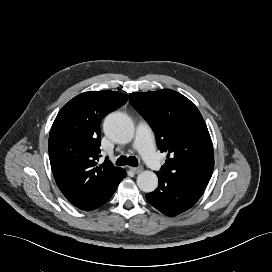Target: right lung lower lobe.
I'll list each match as a JSON object with an SVG mask.
<instances>
[{"label":"right lung lower lobe","instance_id":"1","mask_svg":"<svg viewBox=\"0 0 272 272\" xmlns=\"http://www.w3.org/2000/svg\"><path fill=\"white\" fill-rule=\"evenodd\" d=\"M126 172L125 170H123L122 175L120 176V178L117 180V182L111 187L109 188L97 201H95L93 204L85 207V208H80L82 210H94L100 206H102L103 204H105L113 195V193L115 192V190L117 189L119 183L122 181V179L125 177Z\"/></svg>","mask_w":272,"mask_h":272}]
</instances>
